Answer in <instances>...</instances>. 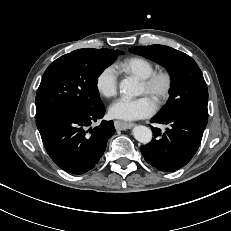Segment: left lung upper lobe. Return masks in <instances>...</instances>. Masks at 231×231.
Returning <instances> with one entry per match:
<instances>
[{"instance_id": "left-lung-upper-lobe-1", "label": "left lung upper lobe", "mask_w": 231, "mask_h": 231, "mask_svg": "<svg viewBox=\"0 0 231 231\" xmlns=\"http://www.w3.org/2000/svg\"><path fill=\"white\" fill-rule=\"evenodd\" d=\"M129 50L159 63L170 72V98L157 115L186 112L208 118L207 86L200 68L190 56L164 45L132 47Z\"/></svg>"}]
</instances>
